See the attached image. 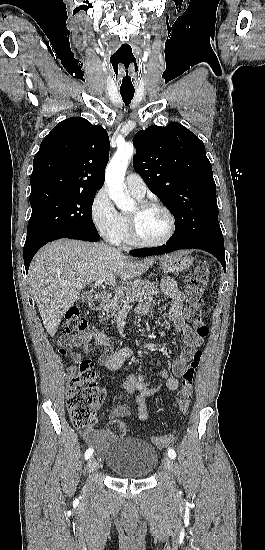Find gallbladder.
Here are the masks:
<instances>
[{
	"label": "gallbladder",
	"instance_id": "obj_1",
	"mask_svg": "<svg viewBox=\"0 0 265 550\" xmlns=\"http://www.w3.org/2000/svg\"><path fill=\"white\" fill-rule=\"evenodd\" d=\"M92 296L89 293H83L79 296V300L82 302H89L91 300Z\"/></svg>",
	"mask_w": 265,
	"mask_h": 550
}]
</instances>
